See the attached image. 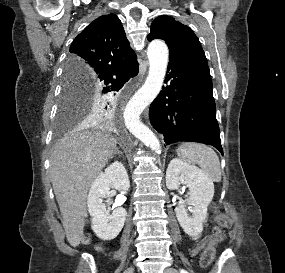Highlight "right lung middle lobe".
<instances>
[{
	"mask_svg": "<svg viewBox=\"0 0 285 273\" xmlns=\"http://www.w3.org/2000/svg\"><path fill=\"white\" fill-rule=\"evenodd\" d=\"M89 82L80 79L76 74L69 73L66 64L57 117L59 129L91 114L101 115L103 104H108L109 101V104L114 105L115 95L109 94L107 102V99L100 95L101 91L92 88Z\"/></svg>",
	"mask_w": 285,
	"mask_h": 273,
	"instance_id": "dd1d6c3e",
	"label": "right lung middle lobe"
}]
</instances>
